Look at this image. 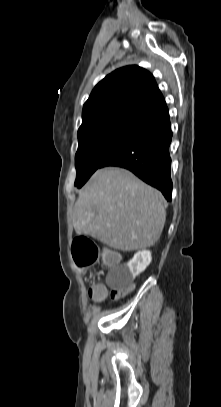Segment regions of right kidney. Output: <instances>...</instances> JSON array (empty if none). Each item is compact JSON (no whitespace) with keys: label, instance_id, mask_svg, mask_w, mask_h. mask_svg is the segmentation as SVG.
Wrapping results in <instances>:
<instances>
[{"label":"right kidney","instance_id":"ca27d5eb","mask_svg":"<svg viewBox=\"0 0 221 407\" xmlns=\"http://www.w3.org/2000/svg\"><path fill=\"white\" fill-rule=\"evenodd\" d=\"M152 260L151 252L142 250L137 252L134 257L127 263L129 273L125 275L127 282H132L136 276L143 272Z\"/></svg>","mask_w":221,"mask_h":407}]
</instances>
